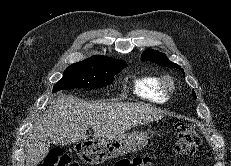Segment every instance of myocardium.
<instances>
[{
  "mask_svg": "<svg viewBox=\"0 0 231 166\" xmlns=\"http://www.w3.org/2000/svg\"><path fill=\"white\" fill-rule=\"evenodd\" d=\"M159 87L165 95H170L175 90V82L169 75L159 77Z\"/></svg>",
  "mask_w": 231,
  "mask_h": 166,
  "instance_id": "obj_1",
  "label": "myocardium"
}]
</instances>
